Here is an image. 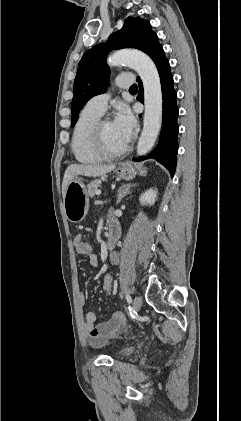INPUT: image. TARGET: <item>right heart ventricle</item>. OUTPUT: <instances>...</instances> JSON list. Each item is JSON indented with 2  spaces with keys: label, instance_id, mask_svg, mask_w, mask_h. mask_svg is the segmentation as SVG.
Masks as SVG:
<instances>
[{
  "label": "right heart ventricle",
  "instance_id": "obj_1",
  "mask_svg": "<svg viewBox=\"0 0 241 421\" xmlns=\"http://www.w3.org/2000/svg\"><path fill=\"white\" fill-rule=\"evenodd\" d=\"M101 116L100 113L85 106L73 129L71 150L75 159L82 164H96L103 160L95 151L92 142L94 127Z\"/></svg>",
  "mask_w": 241,
  "mask_h": 421
}]
</instances>
